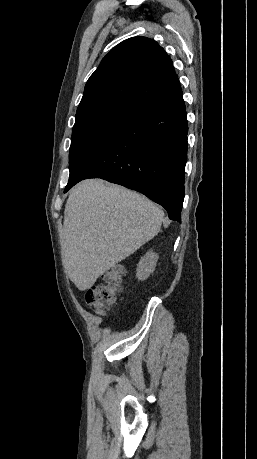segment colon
I'll return each mask as SVG.
<instances>
[{"instance_id": "1", "label": "colon", "mask_w": 257, "mask_h": 459, "mask_svg": "<svg viewBox=\"0 0 257 459\" xmlns=\"http://www.w3.org/2000/svg\"><path fill=\"white\" fill-rule=\"evenodd\" d=\"M123 271L119 267L111 269L103 283L92 286L86 291L85 301L94 311L102 313L112 307L118 299L122 286Z\"/></svg>"}]
</instances>
